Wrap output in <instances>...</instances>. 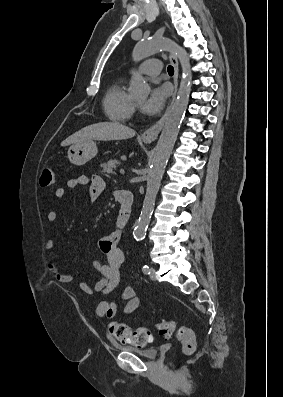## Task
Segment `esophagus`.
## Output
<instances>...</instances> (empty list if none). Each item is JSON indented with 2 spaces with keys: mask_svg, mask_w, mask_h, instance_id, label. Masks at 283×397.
I'll list each match as a JSON object with an SVG mask.
<instances>
[{
  "mask_svg": "<svg viewBox=\"0 0 283 397\" xmlns=\"http://www.w3.org/2000/svg\"><path fill=\"white\" fill-rule=\"evenodd\" d=\"M170 62L174 67V93L172 96V100L170 105L167 107L164 115L158 120L154 125H152L150 128H148L143 134H142V139L146 142H152L157 139L166 119L169 114V111L171 109V106L173 104V101L176 97L177 89H178V76H179V65H178V59L175 54L171 53L170 56Z\"/></svg>",
  "mask_w": 283,
  "mask_h": 397,
  "instance_id": "34e87169",
  "label": "esophagus"
}]
</instances>
